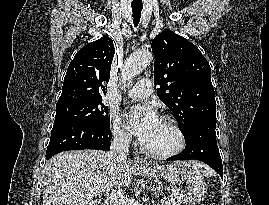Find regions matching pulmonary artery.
<instances>
[{"mask_svg": "<svg viewBox=\"0 0 269 205\" xmlns=\"http://www.w3.org/2000/svg\"><path fill=\"white\" fill-rule=\"evenodd\" d=\"M152 81L144 78L139 80L132 89L129 90L128 95L135 99H147L152 95Z\"/></svg>", "mask_w": 269, "mask_h": 205, "instance_id": "1", "label": "pulmonary artery"}]
</instances>
